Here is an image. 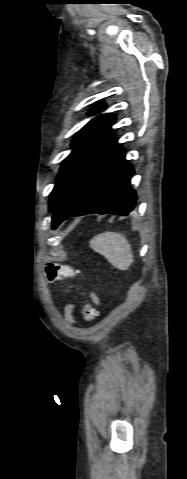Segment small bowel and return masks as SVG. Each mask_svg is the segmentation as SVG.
Segmentation results:
<instances>
[{"mask_svg": "<svg viewBox=\"0 0 187 479\" xmlns=\"http://www.w3.org/2000/svg\"><path fill=\"white\" fill-rule=\"evenodd\" d=\"M91 298L95 301L97 300L94 294H91ZM73 310L74 306L72 304H68L63 308V319L69 324H74L76 322L73 315Z\"/></svg>", "mask_w": 187, "mask_h": 479, "instance_id": "small-bowel-1", "label": "small bowel"}]
</instances>
